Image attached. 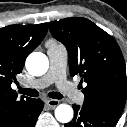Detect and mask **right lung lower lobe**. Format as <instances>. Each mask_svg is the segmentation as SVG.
<instances>
[{
    "instance_id": "98d812e1",
    "label": "right lung lower lobe",
    "mask_w": 127,
    "mask_h": 127,
    "mask_svg": "<svg viewBox=\"0 0 127 127\" xmlns=\"http://www.w3.org/2000/svg\"><path fill=\"white\" fill-rule=\"evenodd\" d=\"M43 101L40 99H33L32 107L30 109L29 114L23 118L21 121L15 123L10 127H34L37 118L39 117L42 109H43Z\"/></svg>"
}]
</instances>
